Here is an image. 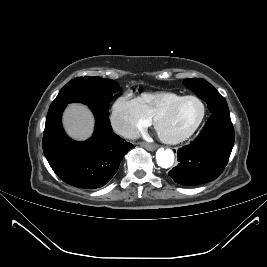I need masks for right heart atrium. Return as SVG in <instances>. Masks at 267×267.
I'll list each match as a JSON object with an SVG mask.
<instances>
[{
  "label": "right heart atrium",
  "instance_id": "d8ad5b80",
  "mask_svg": "<svg viewBox=\"0 0 267 267\" xmlns=\"http://www.w3.org/2000/svg\"><path fill=\"white\" fill-rule=\"evenodd\" d=\"M110 121L113 129L126 138L133 137L151 122L142 111L138 99L128 93L118 96L113 102Z\"/></svg>",
  "mask_w": 267,
  "mask_h": 267
}]
</instances>
